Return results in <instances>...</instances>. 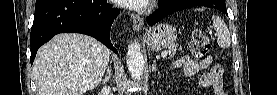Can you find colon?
Listing matches in <instances>:
<instances>
[{
	"mask_svg": "<svg viewBox=\"0 0 277 95\" xmlns=\"http://www.w3.org/2000/svg\"><path fill=\"white\" fill-rule=\"evenodd\" d=\"M210 46V39L205 33L199 30L192 33L188 48L193 57L203 58L210 50Z\"/></svg>",
	"mask_w": 277,
	"mask_h": 95,
	"instance_id": "1",
	"label": "colon"
}]
</instances>
